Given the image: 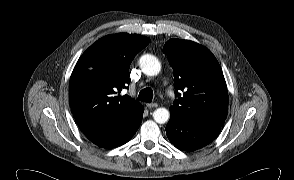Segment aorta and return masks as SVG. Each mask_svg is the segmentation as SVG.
<instances>
[{
	"mask_svg": "<svg viewBox=\"0 0 294 180\" xmlns=\"http://www.w3.org/2000/svg\"><path fill=\"white\" fill-rule=\"evenodd\" d=\"M139 65L142 72L147 76H155L161 70V64L159 60L151 54H145L141 56ZM153 118L158 124H164L169 120L170 113L166 108H157L153 112Z\"/></svg>",
	"mask_w": 294,
	"mask_h": 180,
	"instance_id": "aorta-1",
	"label": "aorta"
}]
</instances>
